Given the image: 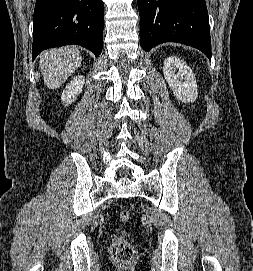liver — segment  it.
Returning <instances> with one entry per match:
<instances>
[{
  "instance_id": "liver-1",
  "label": "liver",
  "mask_w": 253,
  "mask_h": 271,
  "mask_svg": "<svg viewBox=\"0 0 253 271\" xmlns=\"http://www.w3.org/2000/svg\"><path fill=\"white\" fill-rule=\"evenodd\" d=\"M82 57L75 47H62L44 51L40 56V69L49 89L60 87L78 67Z\"/></svg>"
}]
</instances>
